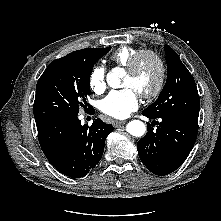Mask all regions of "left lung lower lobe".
<instances>
[{"label": "left lung lower lobe", "mask_w": 221, "mask_h": 221, "mask_svg": "<svg viewBox=\"0 0 221 221\" xmlns=\"http://www.w3.org/2000/svg\"><path fill=\"white\" fill-rule=\"evenodd\" d=\"M142 114L150 119L144 111ZM148 124V132L138 141L137 150L142 163L156 175H167L175 171L185 161L192 150L197 133L198 121L161 118L153 131Z\"/></svg>", "instance_id": "obj_1"}]
</instances>
